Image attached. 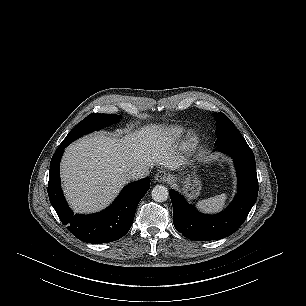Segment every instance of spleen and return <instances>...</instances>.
I'll use <instances>...</instances> for the list:
<instances>
[{
	"instance_id": "1",
	"label": "spleen",
	"mask_w": 306,
	"mask_h": 306,
	"mask_svg": "<svg viewBox=\"0 0 306 306\" xmlns=\"http://www.w3.org/2000/svg\"><path fill=\"white\" fill-rule=\"evenodd\" d=\"M226 199H227V194H221L215 197L199 201L196 206L197 208H199L200 210L206 213L217 212L224 207Z\"/></svg>"
}]
</instances>
